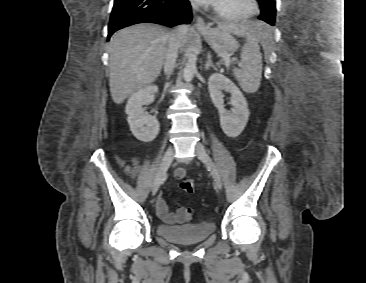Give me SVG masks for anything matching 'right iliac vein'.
Wrapping results in <instances>:
<instances>
[{"label": "right iliac vein", "mask_w": 366, "mask_h": 283, "mask_svg": "<svg viewBox=\"0 0 366 283\" xmlns=\"http://www.w3.org/2000/svg\"><path fill=\"white\" fill-rule=\"evenodd\" d=\"M173 159V148L169 147L167 151L165 152L162 161L160 163V166L156 172L154 183L152 186V194L155 195L164 179V176L172 162Z\"/></svg>", "instance_id": "1"}]
</instances>
